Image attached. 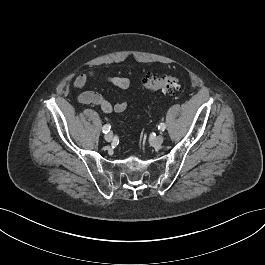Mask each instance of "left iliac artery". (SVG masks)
Here are the masks:
<instances>
[{
	"instance_id": "44dca946",
	"label": "left iliac artery",
	"mask_w": 265,
	"mask_h": 265,
	"mask_svg": "<svg viewBox=\"0 0 265 265\" xmlns=\"http://www.w3.org/2000/svg\"><path fill=\"white\" fill-rule=\"evenodd\" d=\"M165 128H166L165 123H160V125L158 126V129L161 130V131H164Z\"/></svg>"
}]
</instances>
